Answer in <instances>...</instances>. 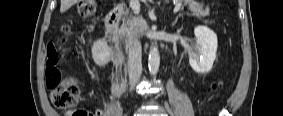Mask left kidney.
<instances>
[{
    "label": "left kidney",
    "mask_w": 283,
    "mask_h": 116,
    "mask_svg": "<svg viewBox=\"0 0 283 116\" xmlns=\"http://www.w3.org/2000/svg\"><path fill=\"white\" fill-rule=\"evenodd\" d=\"M194 34L197 38V45L189 50L190 66L197 73H208L216 58L217 35L206 26L195 27Z\"/></svg>",
    "instance_id": "1"
}]
</instances>
